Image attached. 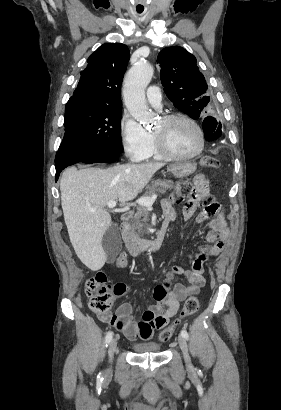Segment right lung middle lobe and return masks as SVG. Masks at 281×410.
<instances>
[{
  "instance_id": "right-lung-middle-lobe-1",
  "label": "right lung middle lobe",
  "mask_w": 281,
  "mask_h": 410,
  "mask_svg": "<svg viewBox=\"0 0 281 410\" xmlns=\"http://www.w3.org/2000/svg\"><path fill=\"white\" fill-rule=\"evenodd\" d=\"M121 109L90 105H69L65 109V134L55 163L78 153H122Z\"/></svg>"
}]
</instances>
